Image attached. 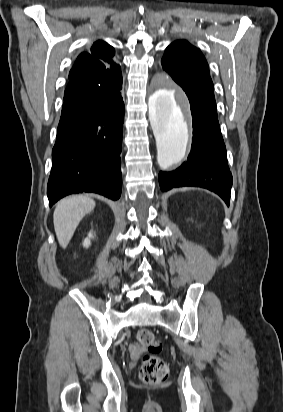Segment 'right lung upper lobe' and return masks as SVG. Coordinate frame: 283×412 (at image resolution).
<instances>
[{"label":"right lung upper lobe","instance_id":"1","mask_svg":"<svg viewBox=\"0 0 283 412\" xmlns=\"http://www.w3.org/2000/svg\"><path fill=\"white\" fill-rule=\"evenodd\" d=\"M114 49L103 41H96L90 52L81 53L69 73L64 99L74 92L95 83L122 82L121 67L113 59Z\"/></svg>","mask_w":283,"mask_h":412}]
</instances>
